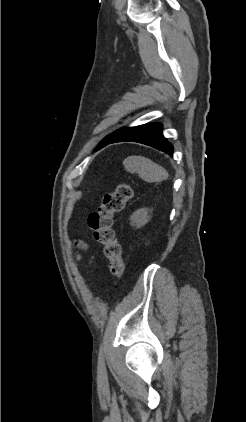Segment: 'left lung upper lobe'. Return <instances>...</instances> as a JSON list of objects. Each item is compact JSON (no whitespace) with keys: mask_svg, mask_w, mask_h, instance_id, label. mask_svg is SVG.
Returning <instances> with one entry per match:
<instances>
[{"mask_svg":"<svg viewBox=\"0 0 246 422\" xmlns=\"http://www.w3.org/2000/svg\"><path fill=\"white\" fill-rule=\"evenodd\" d=\"M128 128H121V129H119V130H117V131H115V132H113V133H111L110 135H108L99 145H98V147L100 146V145H102L103 143H105L106 141H108V140H112V139H115V138H117L118 136H120L123 132H125L126 130H127ZM97 147V148H98Z\"/></svg>","mask_w":246,"mask_h":422,"instance_id":"1","label":"left lung upper lobe"}]
</instances>
